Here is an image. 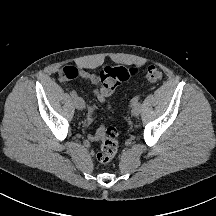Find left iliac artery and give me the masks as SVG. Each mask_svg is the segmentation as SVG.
<instances>
[{"mask_svg":"<svg viewBox=\"0 0 216 216\" xmlns=\"http://www.w3.org/2000/svg\"><path fill=\"white\" fill-rule=\"evenodd\" d=\"M139 99H140L139 96L134 97V98L131 100V105L139 104V103H138Z\"/></svg>","mask_w":216,"mask_h":216,"instance_id":"1","label":"left iliac artery"}]
</instances>
